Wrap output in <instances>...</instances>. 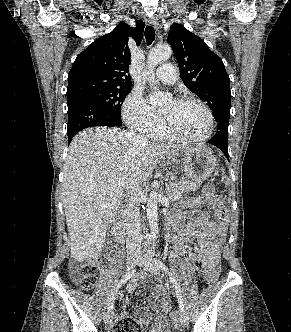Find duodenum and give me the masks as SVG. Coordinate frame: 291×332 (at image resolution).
Listing matches in <instances>:
<instances>
[{
	"label": "duodenum",
	"mask_w": 291,
	"mask_h": 332,
	"mask_svg": "<svg viewBox=\"0 0 291 332\" xmlns=\"http://www.w3.org/2000/svg\"><path fill=\"white\" fill-rule=\"evenodd\" d=\"M124 216H125V213H121L116 218L113 228H112V233H113L114 239L120 244H123L126 241Z\"/></svg>",
	"instance_id": "1"
}]
</instances>
